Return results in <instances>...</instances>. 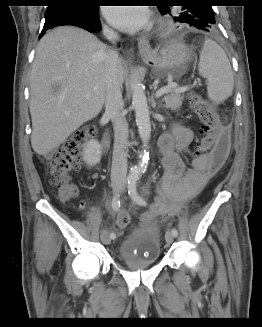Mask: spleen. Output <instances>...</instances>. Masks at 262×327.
Wrapping results in <instances>:
<instances>
[{
  "instance_id": "obj_1",
  "label": "spleen",
  "mask_w": 262,
  "mask_h": 327,
  "mask_svg": "<svg viewBox=\"0 0 262 327\" xmlns=\"http://www.w3.org/2000/svg\"><path fill=\"white\" fill-rule=\"evenodd\" d=\"M199 75L207 79L208 98L216 104L232 95L234 80L229 59L213 40L206 39L200 52Z\"/></svg>"
}]
</instances>
